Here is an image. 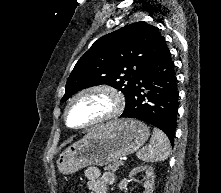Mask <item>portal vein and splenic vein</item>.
<instances>
[{
  "instance_id": "portal-vein-and-splenic-vein-1",
  "label": "portal vein and splenic vein",
  "mask_w": 221,
  "mask_h": 193,
  "mask_svg": "<svg viewBox=\"0 0 221 193\" xmlns=\"http://www.w3.org/2000/svg\"><path fill=\"white\" fill-rule=\"evenodd\" d=\"M120 163L123 165V161L122 160H120Z\"/></svg>"
}]
</instances>
